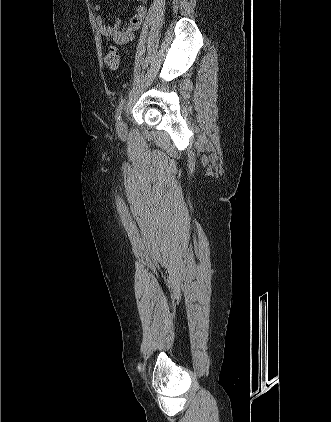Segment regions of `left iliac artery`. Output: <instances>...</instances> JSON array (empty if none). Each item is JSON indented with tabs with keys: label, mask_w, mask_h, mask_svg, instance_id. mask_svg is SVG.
<instances>
[{
	"label": "left iliac artery",
	"mask_w": 331,
	"mask_h": 422,
	"mask_svg": "<svg viewBox=\"0 0 331 422\" xmlns=\"http://www.w3.org/2000/svg\"><path fill=\"white\" fill-rule=\"evenodd\" d=\"M125 102H126V98L121 99V101H120V103H119V105H118V107L116 109L115 119H116L117 125H118V123L120 121L121 113H122V110L124 108Z\"/></svg>",
	"instance_id": "1"
}]
</instances>
